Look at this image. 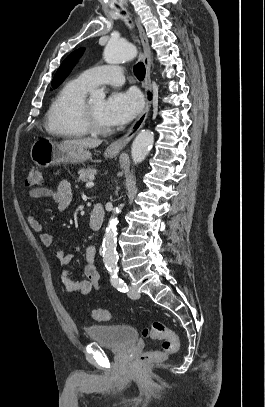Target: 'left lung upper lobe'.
I'll return each instance as SVG.
<instances>
[{"mask_svg": "<svg viewBox=\"0 0 265 407\" xmlns=\"http://www.w3.org/2000/svg\"><path fill=\"white\" fill-rule=\"evenodd\" d=\"M83 52H84V48L75 50L62 62L61 66L57 70V72L51 82V85L53 88H56L63 82V80L69 74L70 70L76 64V62L81 57Z\"/></svg>", "mask_w": 265, "mask_h": 407, "instance_id": "1", "label": "left lung upper lobe"}]
</instances>
